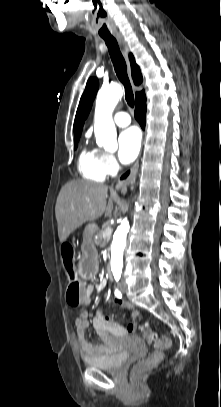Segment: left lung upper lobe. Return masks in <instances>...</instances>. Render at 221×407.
<instances>
[{
    "label": "left lung upper lobe",
    "mask_w": 221,
    "mask_h": 407,
    "mask_svg": "<svg viewBox=\"0 0 221 407\" xmlns=\"http://www.w3.org/2000/svg\"><path fill=\"white\" fill-rule=\"evenodd\" d=\"M99 87V82L97 80V78H90L87 82L85 91L80 99V104H79V108L81 110V120L82 122H84V120L87 118L92 104H93V100L96 96L97 90Z\"/></svg>",
    "instance_id": "1"
}]
</instances>
